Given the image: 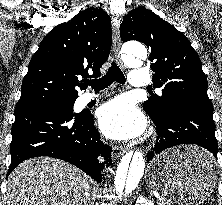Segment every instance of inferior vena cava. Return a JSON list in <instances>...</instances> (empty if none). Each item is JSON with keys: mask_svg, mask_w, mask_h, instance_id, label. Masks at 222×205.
<instances>
[{"mask_svg": "<svg viewBox=\"0 0 222 205\" xmlns=\"http://www.w3.org/2000/svg\"><path fill=\"white\" fill-rule=\"evenodd\" d=\"M85 196H86V198L88 197V192H85Z\"/></svg>", "mask_w": 222, "mask_h": 205, "instance_id": "obj_1", "label": "inferior vena cava"}]
</instances>
